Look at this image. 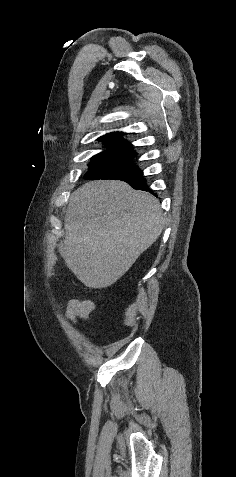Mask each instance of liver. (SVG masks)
Here are the masks:
<instances>
[{
    "label": "liver",
    "mask_w": 236,
    "mask_h": 477,
    "mask_svg": "<svg viewBox=\"0 0 236 477\" xmlns=\"http://www.w3.org/2000/svg\"><path fill=\"white\" fill-rule=\"evenodd\" d=\"M159 202L118 180H97L72 193L65 237L58 247L66 266L87 287L114 284L160 236Z\"/></svg>",
    "instance_id": "6515ba94"
}]
</instances>
